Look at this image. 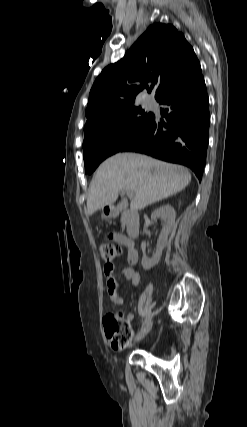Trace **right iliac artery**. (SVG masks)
<instances>
[{
  "instance_id": "right-iliac-artery-1",
  "label": "right iliac artery",
  "mask_w": 247,
  "mask_h": 427,
  "mask_svg": "<svg viewBox=\"0 0 247 427\" xmlns=\"http://www.w3.org/2000/svg\"><path fill=\"white\" fill-rule=\"evenodd\" d=\"M150 317H146L143 324H142V328L146 325V323L149 321Z\"/></svg>"
}]
</instances>
